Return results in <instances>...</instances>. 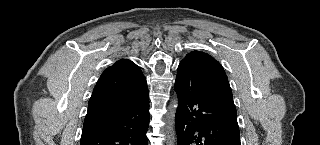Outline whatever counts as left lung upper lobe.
Returning a JSON list of instances; mask_svg holds the SVG:
<instances>
[{
  "mask_svg": "<svg viewBox=\"0 0 320 145\" xmlns=\"http://www.w3.org/2000/svg\"><path fill=\"white\" fill-rule=\"evenodd\" d=\"M183 60L199 66L203 69L216 72L228 81L226 73L223 70L221 64L207 53L201 51H192L188 53ZM224 103L231 112L237 115L230 86L229 92L227 93V98Z\"/></svg>",
  "mask_w": 320,
  "mask_h": 145,
  "instance_id": "obj_1",
  "label": "left lung upper lobe"
}]
</instances>
